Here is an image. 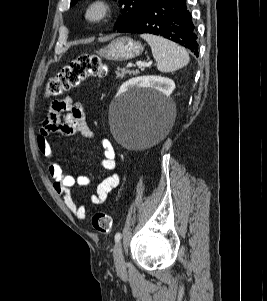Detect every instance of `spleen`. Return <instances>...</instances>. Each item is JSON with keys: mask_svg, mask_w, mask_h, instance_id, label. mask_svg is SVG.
<instances>
[{"mask_svg": "<svg viewBox=\"0 0 267 301\" xmlns=\"http://www.w3.org/2000/svg\"><path fill=\"white\" fill-rule=\"evenodd\" d=\"M141 38L150 45L159 71L173 72L189 63L187 51L176 43L152 34H143Z\"/></svg>", "mask_w": 267, "mask_h": 301, "instance_id": "3e777b00", "label": "spleen"}]
</instances>
